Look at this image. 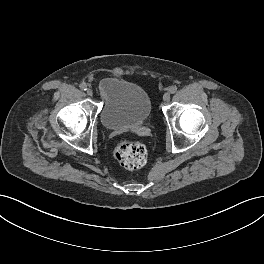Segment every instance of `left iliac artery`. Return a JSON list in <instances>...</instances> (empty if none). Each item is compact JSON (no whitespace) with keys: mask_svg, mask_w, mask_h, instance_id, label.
<instances>
[{"mask_svg":"<svg viewBox=\"0 0 264 264\" xmlns=\"http://www.w3.org/2000/svg\"><path fill=\"white\" fill-rule=\"evenodd\" d=\"M170 93H175L177 91V87L176 86H171L169 89Z\"/></svg>","mask_w":264,"mask_h":264,"instance_id":"44dca946","label":"left iliac artery"}]
</instances>
